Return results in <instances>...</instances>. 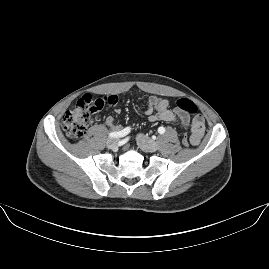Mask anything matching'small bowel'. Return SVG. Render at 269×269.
Segmentation results:
<instances>
[{
	"label": "small bowel",
	"mask_w": 269,
	"mask_h": 269,
	"mask_svg": "<svg viewBox=\"0 0 269 269\" xmlns=\"http://www.w3.org/2000/svg\"><path fill=\"white\" fill-rule=\"evenodd\" d=\"M147 110L146 114L150 122L165 121L175 122L179 121L182 125H188L191 122L192 141L193 145H198L204 134V119L200 115H196L190 120L189 113L181 111L176 108L172 111L169 108V101L157 96H151L146 100ZM116 113H120V110H116ZM104 124L112 129L116 128L115 118L112 115L104 118Z\"/></svg>",
	"instance_id": "obj_1"
}]
</instances>
